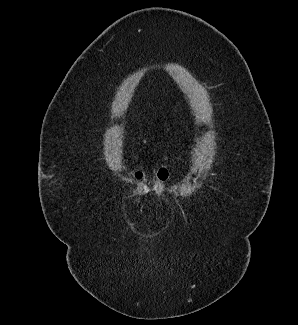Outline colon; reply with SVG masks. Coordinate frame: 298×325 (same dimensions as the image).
Wrapping results in <instances>:
<instances>
[{"label": "colon", "mask_w": 298, "mask_h": 325, "mask_svg": "<svg viewBox=\"0 0 298 325\" xmlns=\"http://www.w3.org/2000/svg\"><path fill=\"white\" fill-rule=\"evenodd\" d=\"M134 177L138 183V190L141 196L147 195L150 192L160 193L164 190L169 178V167L162 165L155 176V181L152 186L145 180L144 173L141 170H135Z\"/></svg>", "instance_id": "1"}]
</instances>
